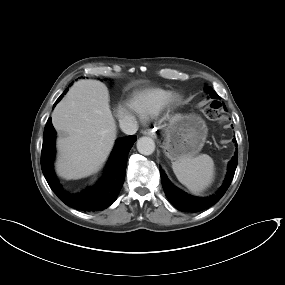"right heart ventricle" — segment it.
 <instances>
[{"mask_svg":"<svg viewBox=\"0 0 285 285\" xmlns=\"http://www.w3.org/2000/svg\"><path fill=\"white\" fill-rule=\"evenodd\" d=\"M170 95L160 88L139 90L131 94L128 105L142 116H156L167 105Z\"/></svg>","mask_w":285,"mask_h":285,"instance_id":"1","label":"right heart ventricle"}]
</instances>
